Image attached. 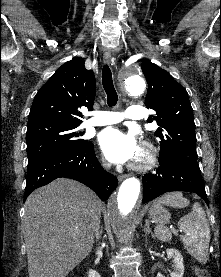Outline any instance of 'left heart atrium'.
Listing matches in <instances>:
<instances>
[{"label": "left heart atrium", "mask_w": 221, "mask_h": 277, "mask_svg": "<svg viewBox=\"0 0 221 277\" xmlns=\"http://www.w3.org/2000/svg\"><path fill=\"white\" fill-rule=\"evenodd\" d=\"M99 143L106 158L113 163L133 161L140 152V146L133 134L115 128L102 131Z\"/></svg>", "instance_id": "obj_1"}]
</instances>
